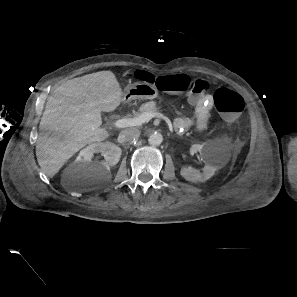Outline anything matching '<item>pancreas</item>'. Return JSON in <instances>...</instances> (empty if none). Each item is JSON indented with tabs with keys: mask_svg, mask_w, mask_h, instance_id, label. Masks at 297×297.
I'll return each instance as SVG.
<instances>
[{
	"mask_svg": "<svg viewBox=\"0 0 297 297\" xmlns=\"http://www.w3.org/2000/svg\"><path fill=\"white\" fill-rule=\"evenodd\" d=\"M157 111H158V107H157L156 102L149 101V102L142 104L141 107L139 108L138 112L134 113L133 116L138 117L139 115H141L142 113H145V112L155 113Z\"/></svg>",
	"mask_w": 297,
	"mask_h": 297,
	"instance_id": "pancreas-1",
	"label": "pancreas"
}]
</instances>
